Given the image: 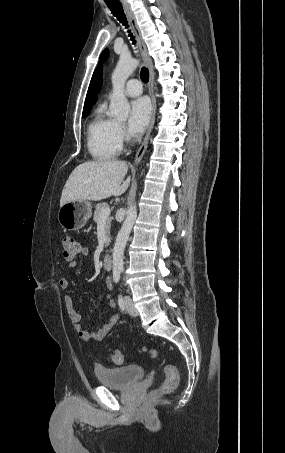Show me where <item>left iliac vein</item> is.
<instances>
[{"mask_svg":"<svg viewBox=\"0 0 285 453\" xmlns=\"http://www.w3.org/2000/svg\"><path fill=\"white\" fill-rule=\"evenodd\" d=\"M124 306L127 310V312L132 315V316H138V311L135 308V305L132 301V299L129 296L124 297Z\"/></svg>","mask_w":285,"mask_h":453,"instance_id":"1","label":"left iliac vein"}]
</instances>
